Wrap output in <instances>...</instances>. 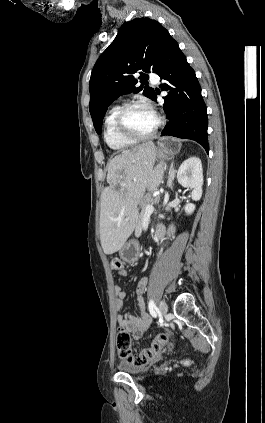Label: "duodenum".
Here are the masks:
<instances>
[{"instance_id": "1", "label": "duodenum", "mask_w": 265, "mask_h": 423, "mask_svg": "<svg viewBox=\"0 0 265 423\" xmlns=\"http://www.w3.org/2000/svg\"><path fill=\"white\" fill-rule=\"evenodd\" d=\"M166 235V230L164 228H159L156 230V237L158 239H163Z\"/></svg>"}]
</instances>
